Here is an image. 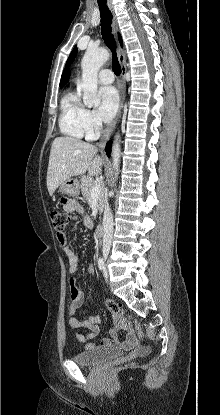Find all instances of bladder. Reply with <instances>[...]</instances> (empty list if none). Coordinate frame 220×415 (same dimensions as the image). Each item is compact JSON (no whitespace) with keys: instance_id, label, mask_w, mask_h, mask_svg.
Returning a JSON list of instances; mask_svg holds the SVG:
<instances>
[{"instance_id":"31cf9c89","label":"bladder","mask_w":220,"mask_h":415,"mask_svg":"<svg viewBox=\"0 0 220 415\" xmlns=\"http://www.w3.org/2000/svg\"><path fill=\"white\" fill-rule=\"evenodd\" d=\"M120 355L121 352L119 350H107L93 347L79 351L73 356L72 359L80 365H93L117 358Z\"/></svg>"}]
</instances>
